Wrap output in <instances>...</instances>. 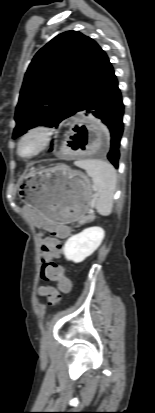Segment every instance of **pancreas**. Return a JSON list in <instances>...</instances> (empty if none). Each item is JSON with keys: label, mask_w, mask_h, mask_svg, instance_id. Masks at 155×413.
Masks as SVG:
<instances>
[{"label": "pancreas", "mask_w": 155, "mask_h": 413, "mask_svg": "<svg viewBox=\"0 0 155 413\" xmlns=\"http://www.w3.org/2000/svg\"><path fill=\"white\" fill-rule=\"evenodd\" d=\"M94 218H95L94 215H89V216L83 217L82 219H80L78 221V226L77 227H79L80 225H83L84 223H86L88 221H93Z\"/></svg>", "instance_id": "pancreas-1"}]
</instances>
